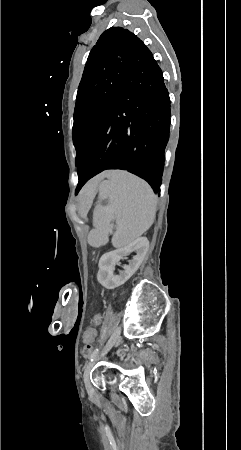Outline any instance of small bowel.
I'll return each mask as SVG.
<instances>
[{
    "label": "small bowel",
    "mask_w": 241,
    "mask_h": 450,
    "mask_svg": "<svg viewBox=\"0 0 241 450\" xmlns=\"http://www.w3.org/2000/svg\"><path fill=\"white\" fill-rule=\"evenodd\" d=\"M93 321H98L99 323H101V318L99 316H92L90 318V323H92ZM84 339V336H83Z\"/></svg>",
    "instance_id": "1"
}]
</instances>
